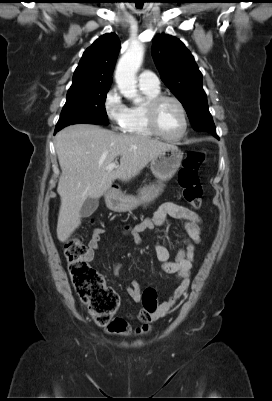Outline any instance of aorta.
<instances>
[{"label": "aorta", "mask_w": 272, "mask_h": 401, "mask_svg": "<svg viewBox=\"0 0 272 401\" xmlns=\"http://www.w3.org/2000/svg\"><path fill=\"white\" fill-rule=\"evenodd\" d=\"M143 55V45L132 44L119 60L115 72V80L120 93L135 104L142 102L141 96L137 93L136 73L143 61Z\"/></svg>", "instance_id": "aorta-1"}]
</instances>
